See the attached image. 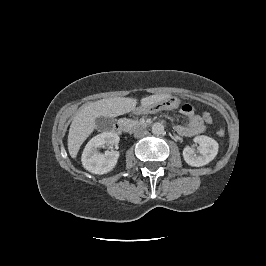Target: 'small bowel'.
<instances>
[{
	"label": "small bowel",
	"mask_w": 266,
	"mask_h": 266,
	"mask_svg": "<svg viewBox=\"0 0 266 266\" xmlns=\"http://www.w3.org/2000/svg\"><path fill=\"white\" fill-rule=\"evenodd\" d=\"M180 112L188 119L186 125H176L175 131L185 137H192L202 133L205 129L203 119L195 112L194 107L189 104H183Z\"/></svg>",
	"instance_id": "1"
}]
</instances>
